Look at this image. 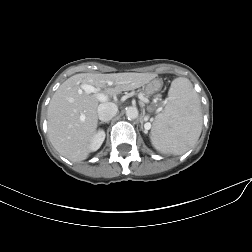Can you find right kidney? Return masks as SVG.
<instances>
[{
	"label": "right kidney",
	"instance_id": "ca27d5eb",
	"mask_svg": "<svg viewBox=\"0 0 252 252\" xmlns=\"http://www.w3.org/2000/svg\"><path fill=\"white\" fill-rule=\"evenodd\" d=\"M104 139H105V132L103 130H99L92 138L90 144V151L98 150L102 145Z\"/></svg>",
	"mask_w": 252,
	"mask_h": 252
}]
</instances>
